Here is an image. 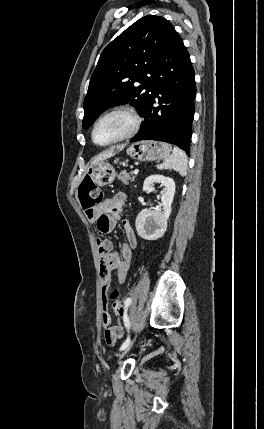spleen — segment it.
Instances as JSON below:
<instances>
[{
	"instance_id": "1",
	"label": "spleen",
	"mask_w": 264,
	"mask_h": 429,
	"mask_svg": "<svg viewBox=\"0 0 264 429\" xmlns=\"http://www.w3.org/2000/svg\"><path fill=\"white\" fill-rule=\"evenodd\" d=\"M158 169H172L178 172L181 176L187 174L188 159L183 150L174 147L172 154L166 157L162 164L157 165Z\"/></svg>"
}]
</instances>
